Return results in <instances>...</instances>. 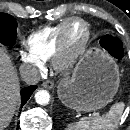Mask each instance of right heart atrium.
Listing matches in <instances>:
<instances>
[{"label": "right heart atrium", "mask_w": 130, "mask_h": 130, "mask_svg": "<svg viewBox=\"0 0 130 130\" xmlns=\"http://www.w3.org/2000/svg\"><path fill=\"white\" fill-rule=\"evenodd\" d=\"M18 56L22 64L33 66L39 71L43 69L42 62L32 57L29 53L21 51L19 52Z\"/></svg>", "instance_id": "1"}]
</instances>
